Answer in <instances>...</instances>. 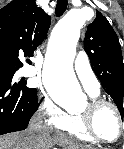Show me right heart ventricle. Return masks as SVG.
<instances>
[{
    "label": "right heart ventricle",
    "instance_id": "e07e8e85",
    "mask_svg": "<svg viewBox=\"0 0 124 149\" xmlns=\"http://www.w3.org/2000/svg\"><path fill=\"white\" fill-rule=\"evenodd\" d=\"M90 96L97 98L98 94H90ZM61 129L81 141L96 143V141L84 130L79 115L69 116L66 124Z\"/></svg>",
    "mask_w": 124,
    "mask_h": 149
}]
</instances>
